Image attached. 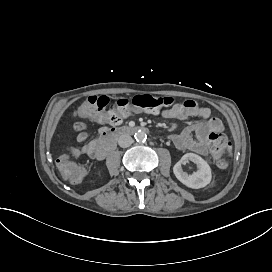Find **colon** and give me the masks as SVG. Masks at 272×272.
I'll return each instance as SVG.
<instances>
[{"instance_id":"5ec220e1","label":"colon","mask_w":272,"mask_h":272,"mask_svg":"<svg viewBox=\"0 0 272 272\" xmlns=\"http://www.w3.org/2000/svg\"><path fill=\"white\" fill-rule=\"evenodd\" d=\"M173 102L170 96H150L140 94L132 99H120L116 105L111 104L109 97L90 96L78 107V112L83 117H92L97 122L106 121L110 124H121L130 110H145L148 112L158 111L169 107ZM94 109V110H93ZM87 125L77 119L72 122V130L83 132ZM207 144L211 147V153L219 167L224 168L228 164L231 153L232 142L225 132L211 131L207 135ZM80 157V152L75 147H69L64 152V157L58 161L60 173L66 177L72 186H79L82 178L87 175L84 165L73 164Z\"/></svg>"}]
</instances>
